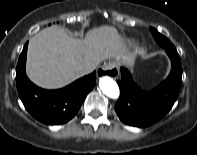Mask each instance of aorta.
Masks as SVG:
<instances>
[{
	"mask_svg": "<svg viewBox=\"0 0 197 155\" xmlns=\"http://www.w3.org/2000/svg\"><path fill=\"white\" fill-rule=\"evenodd\" d=\"M99 87L101 91L108 97L113 99H117L119 97V87L112 78L108 76L100 78Z\"/></svg>",
	"mask_w": 197,
	"mask_h": 155,
	"instance_id": "obj_1",
	"label": "aorta"
}]
</instances>
